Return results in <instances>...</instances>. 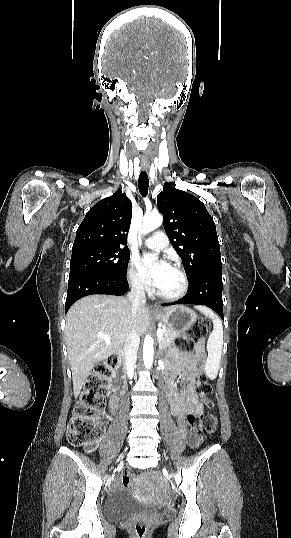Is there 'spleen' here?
Here are the masks:
<instances>
[{
    "mask_svg": "<svg viewBox=\"0 0 291 538\" xmlns=\"http://www.w3.org/2000/svg\"><path fill=\"white\" fill-rule=\"evenodd\" d=\"M195 308L204 315L209 316L213 322V331L207 341L208 357L205 363V371L210 379H215L218 375L222 355L223 326L220 319L209 308L205 306H196Z\"/></svg>",
    "mask_w": 291,
    "mask_h": 538,
    "instance_id": "spleen-1",
    "label": "spleen"
}]
</instances>
